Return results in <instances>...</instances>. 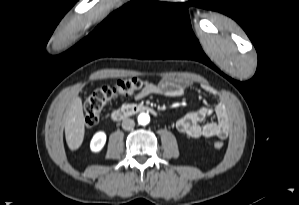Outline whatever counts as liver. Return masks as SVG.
I'll return each mask as SVG.
<instances>
[{
    "label": "liver",
    "instance_id": "obj_1",
    "mask_svg": "<svg viewBox=\"0 0 299 205\" xmlns=\"http://www.w3.org/2000/svg\"><path fill=\"white\" fill-rule=\"evenodd\" d=\"M85 121L82 100L76 96L65 117V137L70 150H77L84 139Z\"/></svg>",
    "mask_w": 299,
    "mask_h": 205
}]
</instances>
